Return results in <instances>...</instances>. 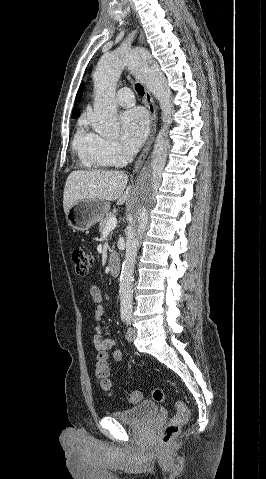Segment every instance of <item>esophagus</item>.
<instances>
[{"label":"esophagus","instance_id":"1","mask_svg":"<svg viewBox=\"0 0 266 479\" xmlns=\"http://www.w3.org/2000/svg\"><path fill=\"white\" fill-rule=\"evenodd\" d=\"M139 41L140 43H144V35L143 33L141 32L139 34ZM145 88V100H146V104H147V107H148V110H149V115H150V134H149V137H148V140L141 152V154L139 155L136 163H135V166H134V170L133 172H138L140 170V168L142 167L151 147H152V144H153V141H154V138H155V134H156V130H157V111H156V106H155V103H154V100L152 98V95L150 93V91L147 89V87H144Z\"/></svg>","mask_w":266,"mask_h":479}]
</instances>
